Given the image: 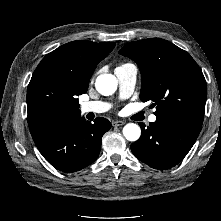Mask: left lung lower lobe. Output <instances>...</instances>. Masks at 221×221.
<instances>
[{"mask_svg": "<svg viewBox=\"0 0 221 221\" xmlns=\"http://www.w3.org/2000/svg\"><path fill=\"white\" fill-rule=\"evenodd\" d=\"M131 145L133 154L155 169H169L183 160L196 141L202 123L186 118H158Z\"/></svg>", "mask_w": 221, "mask_h": 221, "instance_id": "1", "label": "left lung lower lobe"}]
</instances>
